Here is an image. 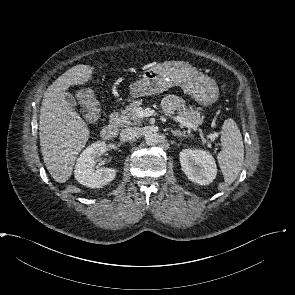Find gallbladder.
Returning <instances> with one entry per match:
<instances>
[{
  "instance_id": "gallbladder-1",
  "label": "gallbladder",
  "mask_w": 295,
  "mask_h": 295,
  "mask_svg": "<svg viewBox=\"0 0 295 295\" xmlns=\"http://www.w3.org/2000/svg\"><path fill=\"white\" fill-rule=\"evenodd\" d=\"M65 99L70 106H76V100L72 94L65 93Z\"/></svg>"
}]
</instances>
